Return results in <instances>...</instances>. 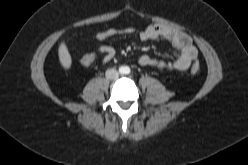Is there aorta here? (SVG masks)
<instances>
[{
    "instance_id": "obj_1",
    "label": "aorta",
    "mask_w": 248,
    "mask_h": 165,
    "mask_svg": "<svg viewBox=\"0 0 248 165\" xmlns=\"http://www.w3.org/2000/svg\"><path fill=\"white\" fill-rule=\"evenodd\" d=\"M121 73L128 74L130 72V68L128 66H123L120 68Z\"/></svg>"
}]
</instances>
